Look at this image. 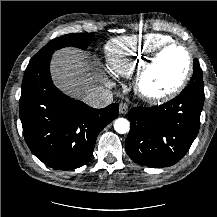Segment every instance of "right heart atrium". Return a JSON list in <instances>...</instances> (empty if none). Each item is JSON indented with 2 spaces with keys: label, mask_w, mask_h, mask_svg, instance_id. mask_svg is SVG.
<instances>
[{
  "label": "right heart atrium",
  "mask_w": 217,
  "mask_h": 217,
  "mask_svg": "<svg viewBox=\"0 0 217 217\" xmlns=\"http://www.w3.org/2000/svg\"><path fill=\"white\" fill-rule=\"evenodd\" d=\"M108 83H111V81L107 80Z\"/></svg>",
  "instance_id": "1"
}]
</instances>
